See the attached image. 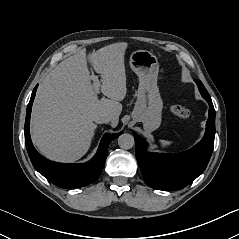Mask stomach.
Wrapping results in <instances>:
<instances>
[{"mask_svg":"<svg viewBox=\"0 0 239 239\" xmlns=\"http://www.w3.org/2000/svg\"><path fill=\"white\" fill-rule=\"evenodd\" d=\"M130 66L139 77L137 101L132 118L136 122H142L145 131L151 132L160 126L163 108L157 87L158 60L150 51L137 50L130 56Z\"/></svg>","mask_w":239,"mask_h":239,"instance_id":"obj_1","label":"stomach"}]
</instances>
